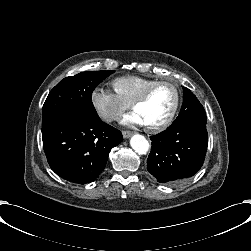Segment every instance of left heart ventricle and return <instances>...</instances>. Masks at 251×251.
<instances>
[{
	"mask_svg": "<svg viewBox=\"0 0 251 251\" xmlns=\"http://www.w3.org/2000/svg\"><path fill=\"white\" fill-rule=\"evenodd\" d=\"M176 101V92L172 85L158 86L150 98L136 107L144 118L146 125H154L164 121L172 111Z\"/></svg>",
	"mask_w": 251,
	"mask_h": 251,
	"instance_id": "b2bd125f",
	"label": "left heart ventricle"
}]
</instances>
